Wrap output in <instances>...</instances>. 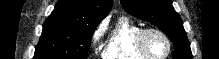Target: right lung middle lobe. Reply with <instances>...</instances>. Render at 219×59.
Wrapping results in <instances>:
<instances>
[{
    "label": "right lung middle lobe",
    "instance_id": "right-lung-middle-lobe-1",
    "mask_svg": "<svg viewBox=\"0 0 219 59\" xmlns=\"http://www.w3.org/2000/svg\"><path fill=\"white\" fill-rule=\"evenodd\" d=\"M98 25L46 20L33 59H86Z\"/></svg>",
    "mask_w": 219,
    "mask_h": 59
}]
</instances>
